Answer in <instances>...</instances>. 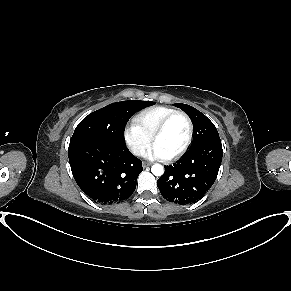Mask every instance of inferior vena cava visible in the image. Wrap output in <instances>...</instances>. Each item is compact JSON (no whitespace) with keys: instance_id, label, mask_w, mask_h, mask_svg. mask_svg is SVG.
<instances>
[{"instance_id":"1","label":"inferior vena cava","mask_w":291,"mask_h":291,"mask_svg":"<svg viewBox=\"0 0 291 291\" xmlns=\"http://www.w3.org/2000/svg\"><path fill=\"white\" fill-rule=\"evenodd\" d=\"M133 153L136 155H141L143 153V149L139 146L135 147Z\"/></svg>"}]
</instances>
